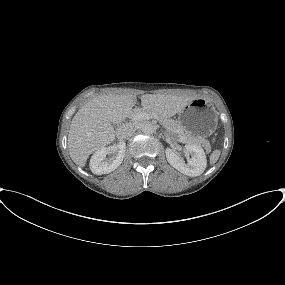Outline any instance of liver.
<instances>
[{
	"label": "liver",
	"instance_id": "liver-1",
	"mask_svg": "<svg viewBox=\"0 0 285 285\" xmlns=\"http://www.w3.org/2000/svg\"><path fill=\"white\" fill-rule=\"evenodd\" d=\"M195 97L170 94H145L140 97L142 108L161 117L179 113ZM136 95H100L82 106L72 119L68 134L71 159L80 167L86 165L89 155L115 139L112 123L119 124L132 114Z\"/></svg>",
	"mask_w": 285,
	"mask_h": 285
}]
</instances>
